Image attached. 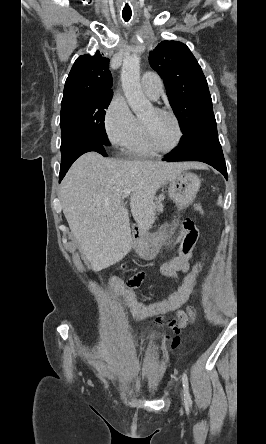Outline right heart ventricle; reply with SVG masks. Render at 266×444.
I'll list each match as a JSON object with an SVG mask.
<instances>
[{"mask_svg":"<svg viewBox=\"0 0 266 444\" xmlns=\"http://www.w3.org/2000/svg\"><path fill=\"white\" fill-rule=\"evenodd\" d=\"M125 152L128 156L135 158H148L155 155L144 142L141 123L138 118H135L134 131L129 142L125 146Z\"/></svg>","mask_w":266,"mask_h":444,"instance_id":"obj_1","label":"right heart ventricle"}]
</instances>
